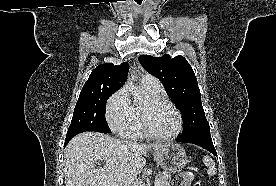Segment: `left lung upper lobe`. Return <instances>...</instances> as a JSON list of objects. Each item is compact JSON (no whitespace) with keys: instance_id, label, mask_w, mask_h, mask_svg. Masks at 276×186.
Instances as JSON below:
<instances>
[{"instance_id":"left-lung-upper-lobe-1","label":"left lung upper lobe","mask_w":276,"mask_h":186,"mask_svg":"<svg viewBox=\"0 0 276 186\" xmlns=\"http://www.w3.org/2000/svg\"><path fill=\"white\" fill-rule=\"evenodd\" d=\"M139 61L148 73L162 82L167 94L181 111L184 128L180 136L210 129L196 76L184 57L171 59L168 54L159 58L141 55Z\"/></svg>"}]
</instances>
